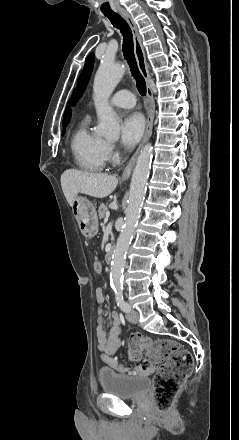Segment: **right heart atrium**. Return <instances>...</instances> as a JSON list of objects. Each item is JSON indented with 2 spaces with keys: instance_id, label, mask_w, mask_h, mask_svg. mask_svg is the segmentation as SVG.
Segmentation results:
<instances>
[{
  "instance_id": "d8ad5b80",
  "label": "right heart atrium",
  "mask_w": 239,
  "mask_h": 440,
  "mask_svg": "<svg viewBox=\"0 0 239 440\" xmlns=\"http://www.w3.org/2000/svg\"><path fill=\"white\" fill-rule=\"evenodd\" d=\"M103 151H104V155L106 157V160L109 161L113 158L114 146L112 143L104 141Z\"/></svg>"
}]
</instances>
